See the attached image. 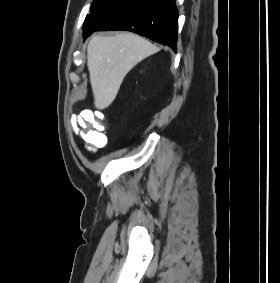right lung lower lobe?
<instances>
[{
    "label": "right lung lower lobe",
    "instance_id": "obj_1",
    "mask_svg": "<svg viewBox=\"0 0 280 283\" xmlns=\"http://www.w3.org/2000/svg\"><path fill=\"white\" fill-rule=\"evenodd\" d=\"M104 30L131 31L176 51L178 10L175 0H137L110 16L95 31Z\"/></svg>",
    "mask_w": 280,
    "mask_h": 283
}]
</instances>
